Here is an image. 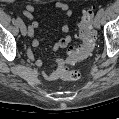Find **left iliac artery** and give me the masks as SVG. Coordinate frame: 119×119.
Here are the masks:
<instances>
[{
    "mask_svg": "<svg viewBox=\"0 0 119 119\" xmlns=\"http://www.w3.org/2000/svg\"><path fill=\"white\" fill-rule=\"evenodd\" d=\"M97 14L102 16L104 14V8H100Z\"/></svg>",
    "mask_w": 119,
    "mask_h": 119,
    "instance_id": "1",
    "label": "left iliac artery"
}]
</instances>
